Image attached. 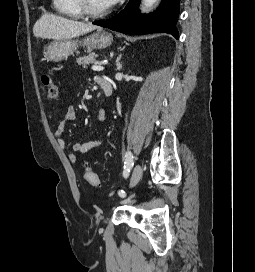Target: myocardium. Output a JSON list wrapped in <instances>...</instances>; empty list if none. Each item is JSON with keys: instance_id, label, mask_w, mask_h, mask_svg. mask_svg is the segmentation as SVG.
Wrapping results in <instances>:
<instances>
[{"instance_id": "1", "label": "myocardium", "mask_w": 255, "mask_h": 272, "mask_svg": "<svg viewBox=\"0 0 255 272\" xmlns=\"http://www.w3.org/2000/svg\"><path fill=\"white\" fill-rule=\"evenodd\" d=\"M77 1H78V5H79V8H80L82 14L85 16H88V17L101 18V17L107 16L110 12V9H107L102 12H96V11L92 10L89 5V0H77Z\"/></svg>"}]
</instances>
